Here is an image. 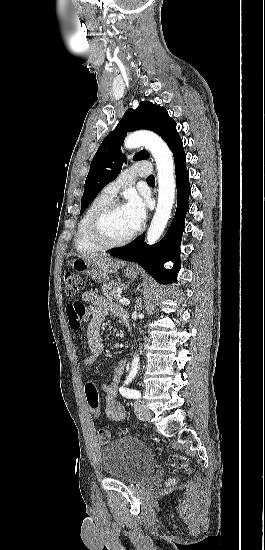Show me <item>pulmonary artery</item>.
<instances>
[{
	"instance_id": "1",
	"label": "pulmonary artery",
	"mask_w": 265,
	"mask_h": 550,
	"mask_svg": "<svg viewBox=\"0 0 265 550\" xmlns=\"http://www.w3.org/2000/svg\"><path fill=\"white\" fill-rule=\"evenodd\" d=\"M147 172L148 162L135 163L126 168L117 179L108 183L102 192L113 198L122 187L130 185L136 176H145Z\"/></svg>"
}]
</instances>
